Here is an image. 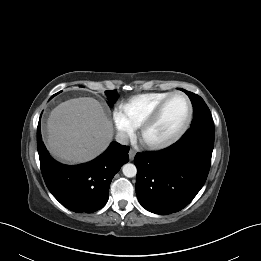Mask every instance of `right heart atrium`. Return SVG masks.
Instances as JSON below:
<instances>
[{
  "instance_id": "right-heart-atrium-1",
  "label": "right heart atrium",
  "mask_w": 261,
  "mask_h": 261,
  "mask_svg": "<svg viewBox=\"0 0 261 261\" xmlns=\"http://www.w3.org/2000/svg\"><path fill=\"white\" fill-rule=\"evenodd\" d=\"M112 120L119 139L125 140L133 135L134 128L130 125L120 110L113 111Z\"/></svg>"
}]
</instances>
